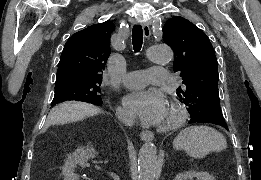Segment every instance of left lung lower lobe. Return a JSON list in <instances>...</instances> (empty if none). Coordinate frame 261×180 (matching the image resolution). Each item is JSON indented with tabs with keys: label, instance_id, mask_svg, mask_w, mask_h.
<instances>
[{
	"label": "left lung lower lobe",
	"instance_id": "0a47b994",
	"mask_svg": "<svg viewBox=\"0 0 261 180\" xmlns=\"http://www.w3.org/2000/svg\"><path fill=\"white\" fill-rule=\"evenodd\" d=\"M200 122H203V123H212V124H216V125H219V126H222L224 127L225 129H228L227 127V124L225 122L224 119H218V118H215L214 116H204L202 118H193L191 117L189 123H200Z\"/></svg>",
	"mask_w": 261,
	"mask_h": 180
}]
</instances>
